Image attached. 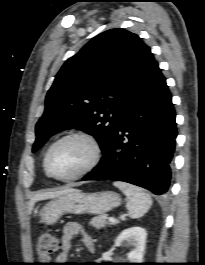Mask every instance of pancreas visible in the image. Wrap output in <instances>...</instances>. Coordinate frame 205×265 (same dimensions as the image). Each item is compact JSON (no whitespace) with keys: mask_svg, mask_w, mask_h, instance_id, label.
<instances>
[{"mask_svg":"<svg viewBox=\"0 0 205 265\" xmlns=\"http://www.w3.org/2000/svg\"><path fill=\"white\" fill-rule=\"evenodd\" d=\"M107 219H108V216L106 214H101V215H98V216L92 218L90 221V224L93 227L100 229V228L104 227L106 224H110L107 222Z\"/></svg>","mask_w":205,"mask_h":265,"instance_id":"obj_1","label":"pancreas"}]
</instances>
